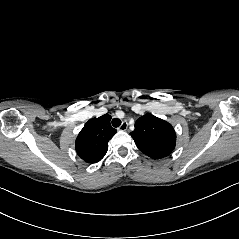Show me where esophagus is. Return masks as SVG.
<instances>
[{
    "label": "esophagus",
    "mask_w": 239,
    "mask_h": 239,
    "mask_svg": "<svg viewBox=\"0 0 239 239\" xmlns=\"http://www.w3.org/2000/svg\"><path fill=\"white\" fill-rule=\"evenodd\" d=\"M128 128V123L126 121L122 122V124L119 126L118 130L120 131H126Z\"/></svg>",
    "instance_id": "1"
}]
</instances>
